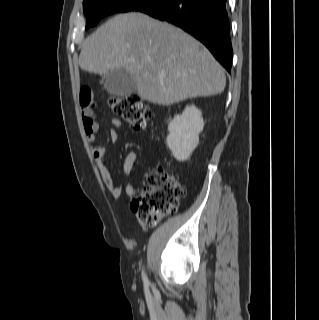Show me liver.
Returning a JSON list of instances; mask_svg holds the SVG:
<instances>
[{"instance_id": "1", "label": "liver", "mask_w": 319, "mask_h": 320, "mask_svg": "<svg viewBox=\"0 0 319 320\" xmlns=\"http://www.w3.org/2000/svg\"><path fill=\"white\" fill-rule=\"evenodd\" d=\"M79 65L89 73L127 71L143 100L170 105L224 91V69L183 30L142 13L119 14L83 42Z\"/></svg>"}]
</instances>
